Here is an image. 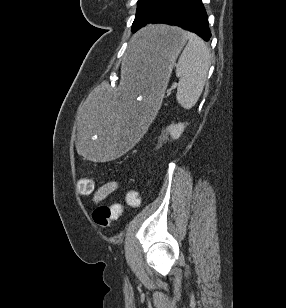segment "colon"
Wrapping results in <instances>:
<instances>
[{
  "mask_svg": "<svg viewBox=\"0 0 286 308\" xmlns=\"http://www.w3.org/2000/svg\"><path fill=\"white\" fill-rule=\"evenodd\" d=\"M93 182L89 178H81L77 182V190L81 194H91L93 191ZM125 203L133 208H136L140 204V196L139 193L134 190L130 189L125 193ZM124 206L122 204H113L110 206L102 205L98 206L92 213V217L94 222L103 227L107 228L110 226L111 222L123 213Z\"/></svg>",
  "mask_w": 286,
  "mask_h": 308,
  "instance_id": "colon-1",
  "label": "colon"
}]
</instances>
